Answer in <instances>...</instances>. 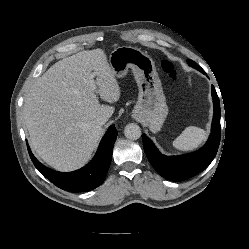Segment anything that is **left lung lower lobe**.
I'll return each instance as SVG.
<instances>
[{
  "instance_id": "left-lung-lower-lobe-1",
  "label": "left lung lower lobe",
  "mask_w": 249,
  "mask_h": 249,
  "mask_svg": "<svg viewBox=\"0 0 249 249\" xmlns=\"http://www.w3.org/2000/svg\"><path fill=\"white\" fill-rule=\"evenodd\" d=\"M200 72L204 73L202 68ZM212 98L214 104V115L211 126V134L201 149L198 151L180 155L165 156L155 147L153 142L142 136L145 153L155 168V170L164 178L171 181H183L191 178L206 169L216 156L220 143V101L214 86H212Z\"/></svg>"
}]
</instances>
